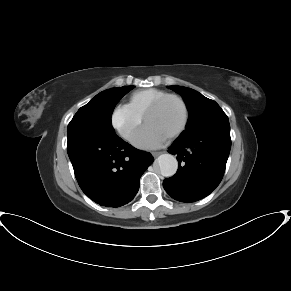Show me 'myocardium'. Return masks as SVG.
Returning a JSON list of instances; mask_svg holds the SVG:
<instances>
[{"label": "myocardium", "mask_w": 291, "mask_h": 291, "mask_svg": "<svg viewBox=\"0 0 291 291\" xmlns=\"http://www.w3.org/2000/svg\"><path fill=\"white\" fill-rule=\"evenodd\" d=\"M174 99L176 101H178L182 107L183 110V120L180 124V126L173 131L168 138L169 139H173L178 137L179 135H181L187 128L188 123H189V119H190V112H189V108L188 105L186 103V101L179 95L177 94H167L165 96H162L160 98H158L157 100H155L145 111L144 115H143V121L146 123L147 118L153 114L155 111H157L166 101Z\"/></svg>", "instance_id": "1"}]
</instances>
